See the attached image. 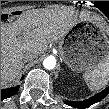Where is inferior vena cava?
Wrapping results in <instances>:
<instances>
[{
    "instance_id": "obj_1",
    "label": "inferior vena cava",
    "mask_w": 109,
    "mask_h": 109,
    "mask_svg": "<svg viewBox=\"0 0 109 109\" xmlns=\"http://www.w3.org/2000/svg\"><path fill=\"white\" fill-rule=\"evenodd\" d=\"M33 58H35V56L31 53L27 52V53L22 54V59L24 62L32 60Z\"/></svg>"
}]
</instances>
